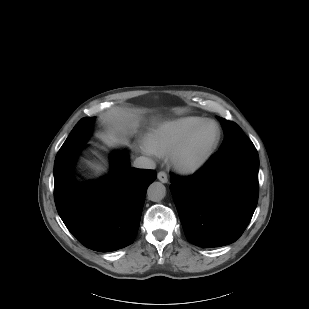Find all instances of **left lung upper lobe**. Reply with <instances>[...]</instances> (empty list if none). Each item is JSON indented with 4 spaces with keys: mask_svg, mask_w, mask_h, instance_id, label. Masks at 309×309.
Wrapping results in <instances>:
<instances>
[{
    "mask_svg": "<svg viewBox=\"0 0 309 309\" xmlns=\"http://www.w3.org/2000/svg\"><path fill=\"white\" fill-rule=\"evenodd\" d=\"M224 128L225 137L220 152L229 151L242 146L253 145L241 128L224 118H219Z\"/></svg>",
    "mask_w": 309,
    "mask_h": 309,
    "instance_id": "obj_1",
    "label": "left lung upper lobe"
}]
</instances>
